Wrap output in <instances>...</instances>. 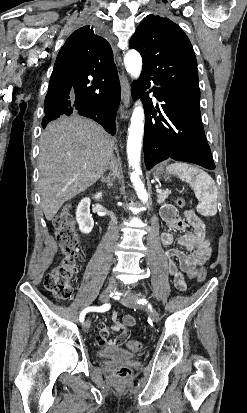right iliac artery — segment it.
<instances>
[{
    "mask_svg": "<svg viewBox=\"0 0 247 413\" xmlns=\"http://www.w3.org/2000/svg\"><path fill=\"white\" fill-rule=\"evenodd\" d=\"M110 308V304H104L101 307H87L85 308L81 313H80V317L79 320L80 322L84 321L85 315L86 313L90 312V311H97V312H105Z\"/></svg>",
    "mask_w": 247,
    "mask_h": 413,
    "instance_id": "82829eb1",
    "label": "right iliac artery"
}]
</instances>
